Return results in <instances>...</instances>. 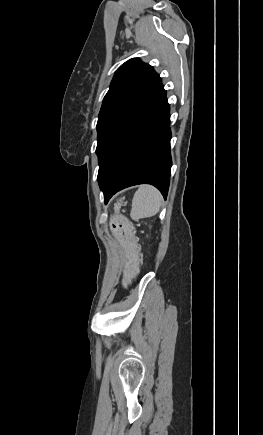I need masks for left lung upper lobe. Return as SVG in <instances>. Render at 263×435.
<instances>
[{"mask_svg":"<svg viewBox=\"0 0 263 435\" xmlns=\"http://www.w3.org/2000/svg\"><path fill=\"white\" fill-rule=\"evenodd\" d=\"M163 90L159 75L139 58L118 68L97 122L99 167L120 134Z\"/></svg>","mask_w":263,"mask_h":435,"instance_id":"left-lung-upper-lobe-1","label":"left lung upper lobe"}]
</instances>
